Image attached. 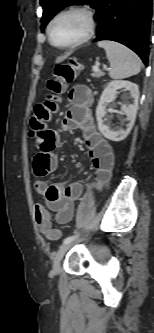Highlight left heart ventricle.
Instances as JSON below:
<instances>
[{"label":"left heart ventricle","instance_id":"b2bd125f","mask_svg":"<svg viewBox=\"0 0 154 333\" xmlns=\"http://www.w3.org/2000/svg\"><path fill=\"white\" fill-rule=\"evenodd\" d=\"M86 28V22L80 14H67L59 18L53 25V39L60 45L69 44L80 38Z\"/></svg>","mask_w":154,"mask_h":333}]
</instances>
